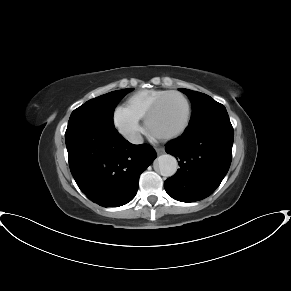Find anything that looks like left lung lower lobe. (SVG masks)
<instances>
[{
	"mask_svg": "<svg viewBox=\"0 0 291 291\" xmlns=\"http://www.w3.org/2000/svg\"><path fill=\"white\" fill-rule=\"evenodd\" d=\"M233 127L227 112L187 127L167 143L168 154L179 160L180 168L164 187L182 202L202 200L212 194L228 172L232 159Z\"/></svg>",
	"mask_w": 291,
	"mask_h": 291,
	"instance_id": "obj_1",
	"label": "left lung lower lobe"
}]
</instances>
